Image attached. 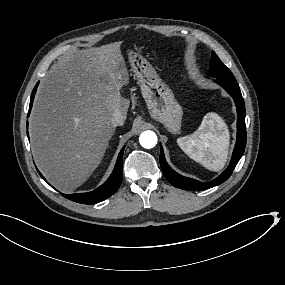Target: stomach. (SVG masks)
Instances as JSON below:
<instances>
[{
	"mask_svg": "<svg viewBox=\"0 0 285 285\" xmlns=\"http://www.w3.org/2000/svg\"><path fill=\"white\" fill-rule=\"evenodd\" d=\"M130 61L150 117L162 123L171 133H177L181 127L182 108L170 88L160 80L146 59L131 53Z\"/></svg>",
	"mask_w": 285,
	"mask_h": 285,
	"instance_id": "1",
	"label": "stomach"
}]
</instances>
